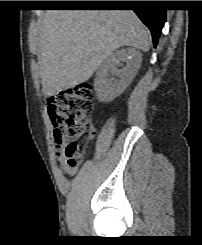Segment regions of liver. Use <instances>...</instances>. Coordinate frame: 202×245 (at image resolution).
Segmentation results:
<instances>
[{
	"mask_svg": "<svg viewBox=\"0 0 202 245\" xmlns=\"http://www.w3.org/2000/svg\"><path fill=\"white\" fill-rule=\"evenodd\" d=\"M43 92L86 82L116 49L149 50V32L132 10H47L40 21Z\"/></svg>",
	"mask_w": 202,
	"mask_h": 245,
	"instance_id": "liver-1",
	"label": "liver"
}]
</instances>
